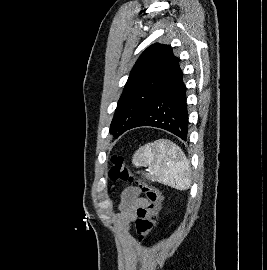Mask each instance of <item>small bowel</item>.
<instances>
[{"instance_id":"c3829d8e","label":"small bowel","mask_w":267,"mask_h":270,"mask_svg":"<svg viewBox=\"0 0 267 270\" xmlns=\"http://www.w3.org/2000/svg\"><path fill=\"white\" fill-rule=\"evenodd\" d=\"M148 201L137 187L127 186L121 194L118 221L125 232H129L136 221L139 211L145 209Z\"/></svg>"}]
</instances>
